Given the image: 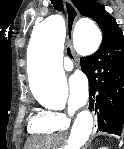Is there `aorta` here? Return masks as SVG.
Instances as JSON below:
<instances>
[{
    "instance_id": "762f6f07",
    "label": "aorta",
    "mask_w": 124,
    "mask_h": 149,
    "mask_svg": "<svg viewBox=\"0 0 124 149\" xmlns=\"http://www.w3.org/2000/svg\"><path fill=\"white\" fill-rule=\"evenodd\" d=\"M64 40V19L55 14L34 27L28 46L30 88L35 99L46 106L67 97V82L62 64ZM101 40V32L92 20H78L73 33L74 47L78 53H93ZM92 127L91 113L80 112L72 126L67 149H80L88 140Z\"/></svg>"
}]
</instances>
